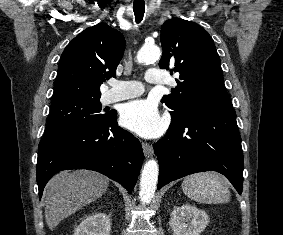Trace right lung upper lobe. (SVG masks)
Instances as JSON below:
<instances>
[{"label": "right lung upper lobe", "instance_id": "cb5924a9", "mask_svg": "<svg viewBox=\"0 0 283 235\" xmlns=\"http://www.w3.org/2000/svg\"><path fill=\"white\" fill-rule=\"evenodd\" d=\"M124 49L123 35L107 24L85 29L61 56L52 103L72 97H100V85L115 76Z\"/></svg>", "mask_w": 283, "mask_h": 235}]
</instances>
